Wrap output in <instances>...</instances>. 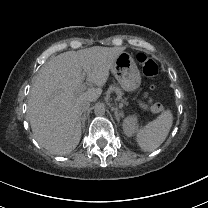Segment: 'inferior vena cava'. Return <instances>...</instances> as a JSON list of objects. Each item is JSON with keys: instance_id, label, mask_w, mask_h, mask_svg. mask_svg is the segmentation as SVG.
Segmentation results:
<instances>
[{"instance_id": "inferior-vena-cava-1", "label": "inferior vena cava", "mask_w": 208, "mask_h": 208, "mask_svg": "<svg viewBox=\"0 0 208 208\" xmlns=\"http://www.w3.org/2000/svg\"><path fill=\"white\" fill-rule=\"evenodd\" d=\"M90 107V102L87 99L80 98L77 102L76 108L79 112H85Z\"/></svg>"}]
</instances>
